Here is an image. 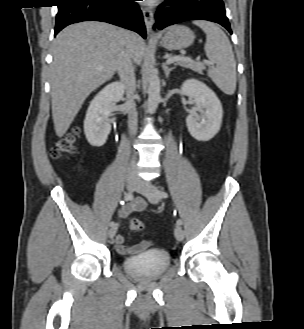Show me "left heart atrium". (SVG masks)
I'll return each instance as SVG.
<instances>
[{
  "instance_id": "left-heart-atrium-1",
  "label": "left heart atrium",
  "mask_w": 304,
  "mask_h": 329,
  "mask_svg": "<svg viewBox=\"0 0 304 329\" xmlns=\"http://www.w3.org/2000/svg\"><path fill=\"white\" fill-rule=\"evenodd\" d=\"M154 0H143L145 3H152Z\"/></svg>"
}]
</instances>
